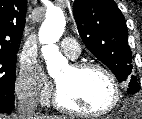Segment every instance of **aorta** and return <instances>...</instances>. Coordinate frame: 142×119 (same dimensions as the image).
Instances as JSON below:
<instances>
[{
    "instance_id": "aorta-1",
    "label": "aorta",
    "mask_w": 142,
    "mask_h": 119,
    "mask_svg": "<svg viewBox=\"0 0 142 119\" xmlns=\"http://www.w3.org/2000/svg\"><path fill=\"white\" fill-rule=\"evenodd\" d=\"M65 23L63 10L53 7L46 12V19L39 30V41L44 44L41 49L42 55L46 60L47 70L50 75L57 73L68 64L55 44L64 32Z\"/></svg>"
}]
</instances>
